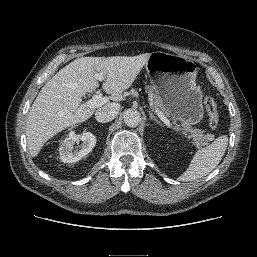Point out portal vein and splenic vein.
Listing matches in <instances>:
<instances>
[{
  "label": "portal vein and splenic vein",
  "instance_id": "obj_1",
  "mask_svg": "<svg viewBox=\"0 0 257 257\" xmlns=\"http://www.w3.org/2000/svg\"><path fill=\"white\" fill-rule=\"evenodd\" d=\"M95 78L99 81L104 80V76L100 73H96ZM108 101H109V98L104 97L101 93H97L92 97V99H90L86 103H83L81 105V108H91V109L99 108L105 103H107ZM155 112L157 113L158 117L166 124V126H168L169 128H173L172 123L166 118V116L158 108L155 109Z\"/></svg>",
  "mask_w": 257,
  "mask_h": 257
}]
</instances>
